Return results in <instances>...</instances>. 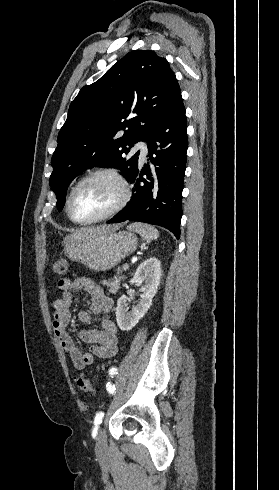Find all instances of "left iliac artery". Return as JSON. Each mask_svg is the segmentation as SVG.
<instances>
[{
    "mask_svg": "<svg viewBox=\"0 0 279 490\" xmlns=\"http://www.w3.org/2000/svg\"><path fill=\"white\" fill-rule=\"evenodd\" d=\"M110 374H117V369L116 368L110 369ZM106 389L110 393H114V391H115V387L112 386V384L110 382L107 383ZM103 417H104V413L103 412H99V413L96 414L95 419H94V429H93V433H92L93 437L96 436L97 430H98V426H99L100 423H102Z\"/></svg>",
    "mask_w": 279,
    "mask_h": 490,
    "instance_id": "44dca946",
    "label": "left iliac artery"
}]
</instances>
